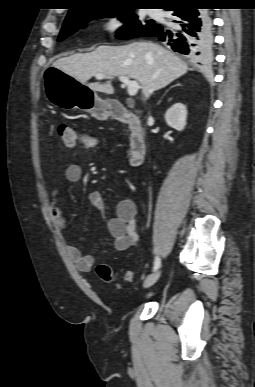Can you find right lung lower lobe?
<instances>
[{
	"label": "right lung lower lobe",
	"mask_w": 255,
	"mask_h": 387,
	"mask_svg": "<svg viewBox=\"0 0 255 387\" xmlns=\"http://www.w3.org/2000/svg\"><path fill=\"white\" fill-rule=\"evenodd\" d=\"M198 0L180 1L166 7L172 12L174 29L161 25L148 27L142 36L158 37L174 51L187 55L191 60L203 63L210 57L212 48V23L207 9Z\"/></svg>",
	"instance_id": "98d812e1"
}]
</instances>
